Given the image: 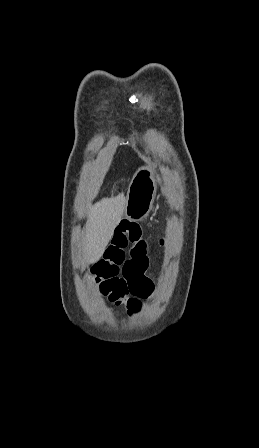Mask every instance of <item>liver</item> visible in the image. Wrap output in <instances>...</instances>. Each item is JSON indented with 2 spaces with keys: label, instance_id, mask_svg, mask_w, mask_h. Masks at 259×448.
Here are the masks:
<instances>
[{
  "label": "liver",
  "instance_id": "obj_1",
  "mask_svg": "<svg viewBox=\"0 0 259 448\" xmlns=\"http://www.w3.org/2000/svg\"><path fill=\"white\" fill-rule=\"evenodd\" d=\"M126 198L118 194L116 198H102L87 212L83 250L89 264H95L102 258L116 226L122 220Z\"/></svg>",
  "mask_w": 259,
  "mask_h": 448
}]
</instances>
